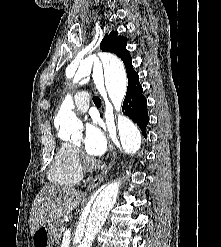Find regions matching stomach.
Segmentation results:
<instances>
[{
  "label": "stomach",
  "mask_w": 221,
  "mask_h": 247,
  "mask_svg": "<svg viewBox=\"0 0 221 247\" xmlns=\"http://www.w3.org/2000/svg\"><path fill=\"white\" fill-rule=\"evenodd\" d=\"M53 240L52 225L41 226L32 233L33 247H51Z\"/></svg>",
  "instance_id": "1"
}]
</instances>
